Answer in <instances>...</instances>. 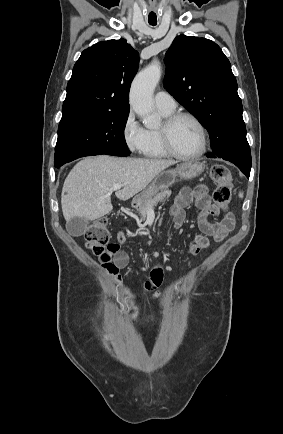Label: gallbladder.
<instances>
[{
  "instance_id": "obj_1",
  "label": "gallbladder",
  "mask_w": 283,
  "mask_h": 434,
  "mask_svg": "<svg viewBox=\"0 0 283 434\" xmlns=\"http://www.w3.org/2000/svg\"><path fill=\"white\" fill-rule=\"evenodd\" d=\"M88 224V220L74 217L67 223V230L72 236L79 237L87 231Z\"/></svg>"
}]
</instances>
